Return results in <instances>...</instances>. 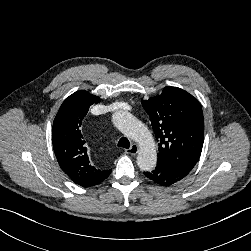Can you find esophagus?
<instances>
[{
	"instance_id": "esophagus-1",
	"label": "esophagus",
	"mask_w": 251,
	"mask_h": 251,
	"mask_svg": "<svg viewBox=\"0 0 251 251\" xmlns=\"http://www.w3.org/2000/svg\"><path fill=\"white\" fill-rule=\"evenodd\" d=\"M125 152L130 155H136L139 152V147L137 144L133 143L129 149H126Z\"/></svg>"
}]
</instances>
